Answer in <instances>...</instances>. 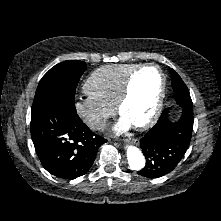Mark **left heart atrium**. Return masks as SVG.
Instances as JSON below:
<instances>
[{
	"label": "left heart atrium",
	"mask_w": 221,
	"mask_h": 221,
	"mask_svg": "<svg viewBox=\"0 0 221 221\" xmlns=\"http://www.w3.org/2000/svg\"><path fill=\"white\" fill-rule=\"evenodd\" d=\"M132 127V123L125 117H121L118 122L114 125L113 131L116 134H121Z\"/></svg>",
	"instance_id": "39dd6f15"
}]
</instances>
